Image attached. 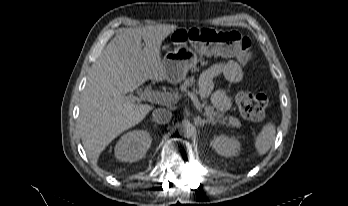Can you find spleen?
<instances>
[{
  "instance_id": "spleen-1",
  "label": "spleen",
  "mask_w": 348,
  "mask_h": 206,
  "mask_svg": "<svg viewBox=\"0 0 348 206\" xmlns=\"http://www.w3.org/2000/svg\"><path fill=\"white\" fill-rule=\"evenodd\" d=\"M276 128L271 122L263 126L255 140V148L258 155H264L273 144L275 139Z\"/></svg>"
}]
</instances>
